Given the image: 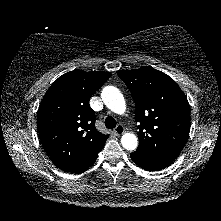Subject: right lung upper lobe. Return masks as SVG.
I'll use <instances>...</instances> for the list:
<instances>
[{
  "label": "right lung upper lobe",
  "instance_id": "right-lung-upper-lobe-1",
  "mask_svg": "<svg viewBox=\"0 0 221 221\" xmlns=\"http://www.w3.org/2000/svg\"><path fill=\"white\" fill-rule=\"evenodd\" d=\"M110 76L102 71L68 72L54 81L40 103L37 127L41 144L65 172L83 167L109 137L97 131L89 100Z\"/></svg>",
  "mask_w": 221,
  "mask_h": 221
}]
</instances>
